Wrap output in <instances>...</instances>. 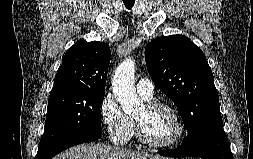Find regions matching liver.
Returning a JSON list of instances; mask_svg holds the SVG:
<instances>
[{
  "label": "liver",
  "mask_w": 253,
  "mask_h": 159,
  "mask_svg": "<svg viewBox=\"0 0 253 159\" xmlns=\"http://www.w3.org/2000/svg\"><path fill=\"white\" fill-rule=\"evenodd\" d=\"M151 157L168 159L159 155L106 146L99 143L74 146L53 159H147Z\"/></svg>",
  "instance_id": "1"
}]
</instances>
